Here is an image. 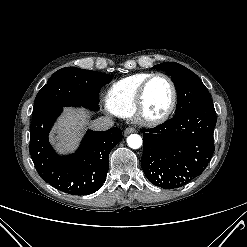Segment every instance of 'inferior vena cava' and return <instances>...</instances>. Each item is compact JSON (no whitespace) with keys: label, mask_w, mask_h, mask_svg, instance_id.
<instances>
[{"label":"inferior vena cava","mask_w":247,"mask_h":247,"mask_svg":"<svg viewBox=\"0 0 247 247\" xmlns=\"http://www.w3.org/2000/svg\"><path fill=\"white\" fill-rule=\"evenodd\" d=\"M114 125V121L110 117H99L91 124L92 129L97 131H105Z\"/></svg>","instance_id":"obj_1"}]
</instances>
